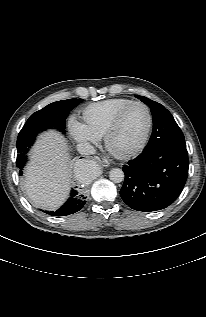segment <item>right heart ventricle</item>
I'll list each match as a JSON object with an SVG mask.
<instances>
[{"instance_id": "obj_1", "label": "right heart ventricle", "mask_w": 206, "mask_h": 317, "mask_svg": "<svg viewBox=\"0 0 206 317\" xmlns=\"http://www.w3.org/2000/svg\"><path fill=\"white\" fill-rule=\"evenodd\" d=\"M131 102L127 98H114L90 104L82 111L81 124L94 138H101L114 116Z\"/></svg>"}]
</instances>
